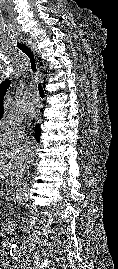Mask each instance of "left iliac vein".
<instances>
[{
    "label": "left iliac vein",
    "mask_w": 118,
    "mask_h": 269,
    "mask_svg": "<svg viewBox=\"0 0 118 269\" xmlns=\"http://www.w3.org/2000/svg\"><path fill=\"white\" fill-rule=\"evenodd\" d=\"M22 266L25 268V266H26V262H22Z\"/></svg>",
    "instance_id": "left-iliac-vein-1"
}]
</instances>
